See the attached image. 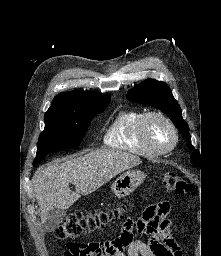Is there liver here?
<instances>
[{
    "mask_svg": "<svg viewBox=\"0 0 221 256\" xmlns=\"http://www.w3.org/2000/svg\"><path fill=\"white\" fill-rule=\"evenodd\" d=\"M141 163L139 157L130 153L100 149L38 169L33 182L42 224L51 210L69 209L81 195L96 191L116 175ZM69 183L75 186V192L69 188Z\"/></svg>",
    "mask_w": 221,
    "mask_h": 256,
    "instance_id": "1",
    "label": "liver"
}]
</instances>
